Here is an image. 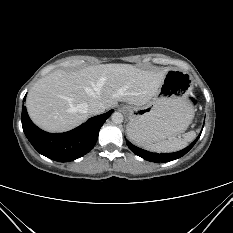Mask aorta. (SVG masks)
Here are the masks:
<instances>
[{
	"mask_svg": "<svg viewBox=\"0 0 233 233\" xmlns=\"http://www.w3.org/2000/svg\"><path fill=\"white\" fill-rule=\"evenodd\" d=\"M111 120L115 124H121L123 122V115L120 112H114L111 115Z\"/></svg>",
	"mask_w": 233,
	"mask_h": 233,
	"instance_id": "obj_1",
	"label": "aorta"
}]
</instances>
